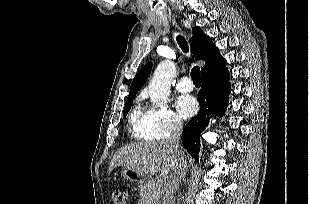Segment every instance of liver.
I'll list each match as a JSON object with an SVG mask.
<instances>
[{"instance_id":"liver-1","label":"liver","mask_w":309,"mask_h":204,"mask_svg":"<svg viewBox=\"0 0 309 204\" xmlns=\"http://www.w3.org/2000/svg\"><path fill=\"white\" fill-rule=\"evenodd\" d=\"M177 155L166 141L130 143L114 155L109 172L117 166L127 167L151 175L157 172L174 171Z\"/></svg>"}]
</instances>
